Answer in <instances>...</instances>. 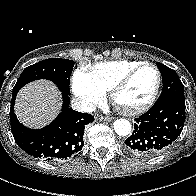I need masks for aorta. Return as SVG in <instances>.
<instances>
[{"mask_svg":"<svg viewBox=\"0 0 196 196\" xmlns=\"http://www.w3.org/2000/svg\"><path fill=\"white\" fill-rule=\"evenodd\" d=\"M114 131L120 136H127L131 132V124L126 119H117L114 121Z\"/></svg>","mask_w":196,"mask_h":196,"instance_id":"obj_1","label":"aorta"}]
</instances>
